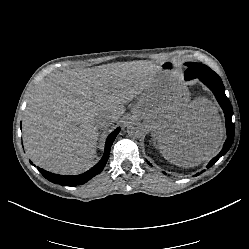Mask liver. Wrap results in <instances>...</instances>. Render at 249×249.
Instances as JSON below:
<instances>
[{
    "label": "liver",
    "instance_id": "obj_1",
    "mask_svg": "<svg viewBox=\"0 0 249 249\" xmlns=\"http://www.w3.org/2000/svg\"><path fill=\"white\" fill-rule=\"evenodd\" d=\"M161 67L109 64L74 68L53 74L30 93L23 117V140L32 161L55 173H76L90 167L99 128L95 120L107 114L112 123L125 104L145 97L131 113L143 120L158 145L170 148L165 158L182 167L196 166L216 154L224 127L206 99L172 100L171 86Z\"/></svg>",
    "mask_w": 249,
    "mask_h": 249
}]
</instances>
